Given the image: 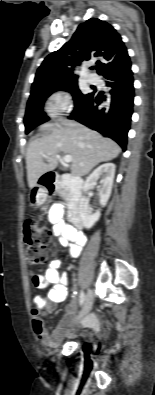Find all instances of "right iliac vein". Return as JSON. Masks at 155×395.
I'll use <instances>...</instances> for the list:
<instances>
[{
  "instance_id": "1",
  "label": "right iliac vein",
  "mask_w": 155,
  "mask_h": 395,
  "mask_svg": "<svg viewBox=\"0 0 155 395\" xmlns=\"http://www.w3.org/2000/svg\"><path fill=\"white\" fill-rule=\"evenodd\" d=\"M93 300H94L93 293L91 290H88L84 300L83 308L78 316V319L84 317L91 310L93 305Z\"/></svg>"
}]
</instances>
